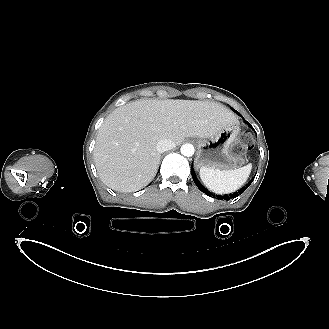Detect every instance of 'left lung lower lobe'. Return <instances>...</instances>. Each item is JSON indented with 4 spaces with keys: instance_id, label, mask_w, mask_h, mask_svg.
Instances as JSON below:
<instances>
[{
    "instance_id": "1",
    "label": "left lung lower lobe",
    "mask_w": 329,
    "mask_h": 329,
    "mask_svg": "<svg viewBox=\"0 0 329 329\" xmlns=\"http://www.w3.org/2000/svg\"><path fill=\"white\" fill-rule=\"evenodd\" d=\"M245 122H246V124H248L252 129H253V127L246 121V120H244ZM191 172H192V178H193V180H194V182H195V184H196V186L203 192V193H205L206 195H208V196H211V195H213L210 191H208L206 188H204L202 185H201V183L198 181V179L196 178V176H195V173H194V170H193V167H191ZM254 178H255V176H254ZM254 178L253 179H251V181L246 185V186H244L243 188H241L239 191H237V192H234V193H232V194H228V195H217L216 197L218 198V199H220V200H230V199H232V198H236L237 196H239V195H241L248 187H249V185L252 183V181L254 180Z\"/></svg>"
}]
</instances>
